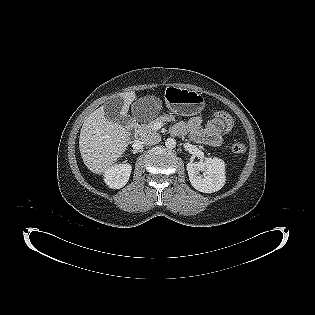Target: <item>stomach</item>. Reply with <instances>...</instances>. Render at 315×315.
I'll use <instances>...</instances> for the list:
<instances>
[{"label": "stomach", "mask_w": 315, "mask_h": 315, "mask_svg": "<svg viewBox=\"0 0 315 315\" xmlns=\"http://www.w3.org/2000/svg\"><path fill=\"white\" fill-rule=\"evenodd\" d=\"M165 104L174 114L194 116L204 109L205 99L194 90L169 86L165 91Z\"/></svg>", "instance_id": "obj_1"}]
</instances>
